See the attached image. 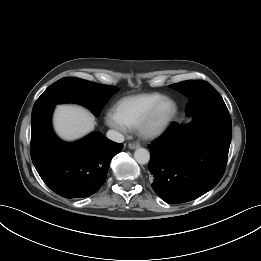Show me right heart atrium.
Returning a JSON list of instances; mask_svg holds the SVG:
<instances>
[{"mask_svg": "<svg viewBox=\"0 0 261 261\" xmlns=\"http://www.w3.org/2000/svg\"><path fill=\"white\" fill-rule=\"evenodd\" d=\"M106 124L121 134L129 132L130 127L118 116L115 110H108L105 114Z\"/></svg>", "mask_w": 261, "mask_h": 261, "instance_id": "obj_1", "label": "right heart atrium"}]
</instances>
